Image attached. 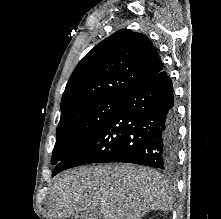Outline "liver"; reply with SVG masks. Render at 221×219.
<instances>
[{
    "instance_id": "6515ba94",
    "label": "liver",
    "mask_w": 221,
    "mask_h": 219,
    "mask_svg": "<svg viewBox=\"0 0 221 219\" xmlns=\"http://www.w3.org/2000/svg\"><path fill=\"white\" fill-rule=\"evenodd\" d=\"M172 193L162 175L130 164L88 166L60 174L51 189V213L65 219L98 208L103 219H141L171 210Z\"/></svg>"
}]
</instances>
